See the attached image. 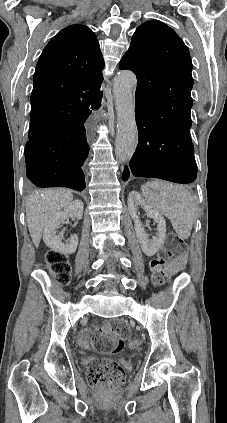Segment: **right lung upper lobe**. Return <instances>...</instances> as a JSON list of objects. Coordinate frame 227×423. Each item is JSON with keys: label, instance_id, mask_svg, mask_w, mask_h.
Segmentation results:
<instances>
[{"label": "right lung upper lobe", "instance_id": "1", "mask_svg": "<svg viewBox=\"0 0 227 423\" xmlns=\"http://www.w3.org/2000/svg\"><path fill=\"white\" fill-rule=\"evenodd\" d=\"M104 60L94 33L74 24L61 30L43 50L33 77L31 103L70 102L83 97L100 100ZM66 122L30 121L29 140L60 130Z\"/></svg>", "mask_w": 227, "mask_h": 423}]
</instances>
